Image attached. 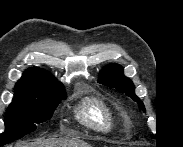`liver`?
<instances>
[{"instance_id":"liver-1","label":"liver","mask_w":183,"mask_h":147,"mask_svg":"<svg viewBox=\"0 0 183 147\" xmlns=\"http://www.w3.org/2000/svg\"><path fill=\"white\" fill-rule=\"evenodd\" d=\"M17 147H91L89 144L76 137L59 138L49 140H36L32 143H24Z\"/></svg>"}]
</instances>
